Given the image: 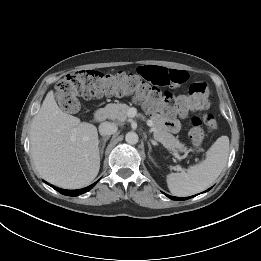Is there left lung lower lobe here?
Returning a JSON list of instances; mask_svg holds the SVG:
<instances>
[{
    "label": "left lung lower lobe",
    "mask_w": 261,
    "mask_h": 261,
    "mask_svg": "<svg viewBox=\"0 0 261 261\" xmlns=\"http://www.w3.org/2000/svg\"><path fill=\"white\" fill-rule=\"evenodd\" d=\"M209 190V189H208ZM207 190V191H208ZM167 197H169L170 199H172V200H187V199H189V198H191V197H185V198H181V197H174V196H169V195H167V194H165Z\"/></svg>",
    "instance_id": "1"
}]
</instances>
